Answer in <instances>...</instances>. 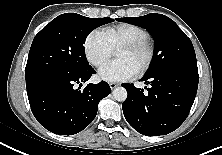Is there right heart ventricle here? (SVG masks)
Masks as SVG:
<instances>
[{"mask_svg":"<svg viewBox=\"0 0 222 155\" xmlns=\"http://www.w3.org/2000/svg\"><path fill=\"white\" fill-rule=\"evenodd\" d=\"M102 33L112 50H117L120 46L127 43L147 40L150 37L149 32L145 28L132 23H121L106 27Z\"/></svg>","mask_w":222,"mask_h":155,"instance_id":"right-heart-ventricle-1","label":"right heart ventricle"}]
</instances>
